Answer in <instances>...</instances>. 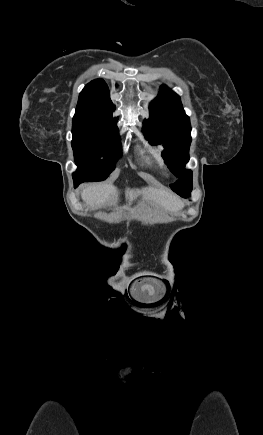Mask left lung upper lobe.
I'll return each instance as SVG.
<instances>
[{
	"mask_svg": "<svg viewBox=\"0 0 263 435\" xmlns=\"http://www.w3.org/2000/svg\"><path fill=\"white\" fill-rule=\"evenodd\" d=\"M144 134L152 145L164 143L163 158L171 171L180 178L170 187L183 197L190 196L192 171L184 168L189 160L191 125L180 97L161 86L159 95L150 104V118L144 121Z\"/></svg>",
	"mask_w": 263,
	"mask_h": 435,
	"instance_id": "obj_1",
	"label": "left lung upper lobe"
}]
</instances>
